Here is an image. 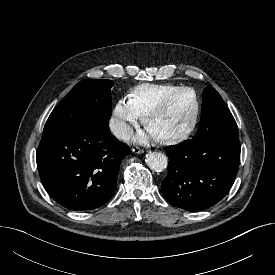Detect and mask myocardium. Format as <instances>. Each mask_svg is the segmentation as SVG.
I'll return each instance as SVG.
<instances>
[{
    "label": "myocardium",
    "mask_w": 275,
    "mask_h": 275,
    "mask_svg": "<svg viewBox=\"0 0 275 275\" xmlns=\"http://www.w3.org/2000/svg\"><path fill=\"white\" fill-rule=\"evenodd\" d=\"M185 92H189L193 95L194 98V110H193V114L192 117L188 123V125L186 126V128L181 131L180 133L173 135V136H169V137H163V138H155V140L161 144H166V145H170V144H177L180 143L182 141H184L185 139H187L189 137V135L193 132L198 118H199V113H200V99L199 96L197 94V92L191 88V87H178L175 90L169 92L168 94H166L144 117V124L145 126L148 128V125L150 123V121L157 116L158 114H160L170 103V101L176 97L177 95L181 94V93H185Z\"/></svg>",
    "instance_id": "1"
}]
</instances>
